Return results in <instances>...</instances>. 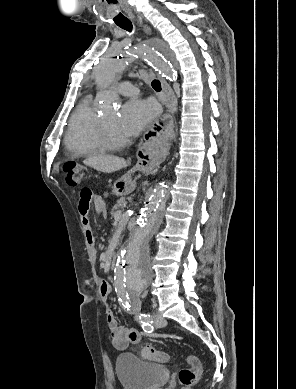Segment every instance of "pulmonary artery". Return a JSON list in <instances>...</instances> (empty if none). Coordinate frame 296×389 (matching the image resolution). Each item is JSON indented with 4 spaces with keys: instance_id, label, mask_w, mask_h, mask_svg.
Wrapping results in <instances>:
<instances>
[{
    "instance_id": "1",
    "label": "pulmonary artery",
    "mask_w": 296,
    "mask_h": 389,
    "mask_svg": "<svg viewBox=\"0 0 296 389\" xmlns=\"http://www.w3.org/2000/svg\"><path fill=\"white\" fill-rule=\"evenodd\" d=\"M113 89L122 95L133 96L138 94V88L131 82L122 81L113 86Z\"/></svg>"
}]
</instances>
